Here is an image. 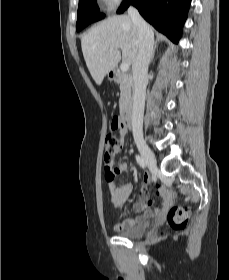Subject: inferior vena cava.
<instances>
[{
  "instance_id": "obj_1",
  "label": "inferior vena cava",
  "mask_w": 229,
  "mask_h": 280,
  "mask_svg": "<svg viewBox=\"0 0 229 280\" xmlns=\"http://www.w3.org/2000/svg\"><path fill=\"white\" fill-rule=\"evenodd\" d=\"M128 15L138 30L139 49L132 65L134 96L132 107L133 135L143 134V113L145 105L146 86L148 83V66L153 52L154 35L150 26L144 21L138 10L128 8Z\"/></svg>"
}]
</instances>
